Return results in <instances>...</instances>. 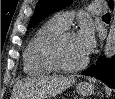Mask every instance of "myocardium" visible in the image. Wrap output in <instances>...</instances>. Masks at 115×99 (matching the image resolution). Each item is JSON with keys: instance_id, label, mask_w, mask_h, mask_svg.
I'll list each match as a JSON object with an SVG mask.
<instances>
[{"instance_id": "f54148a6", "label": "myocardium", "mask_w": 115, "mask_h": 99, "mask_svg": "<svg viewBox=\"0 0 115 99\" xmlns=\"http://www.w3.org/2000/svg\"><path fill=\"white\" fill-rule=\"evenodd\" d=\"M76 35L72 30H63L53 36L46 44L44 49L45 58L48 63L56 70L61 72H76L83 69L88 64V57L83 62L74 66L64 64L59 57V48L61 44L69 37Z\"/></svg>"}]
</instances>
